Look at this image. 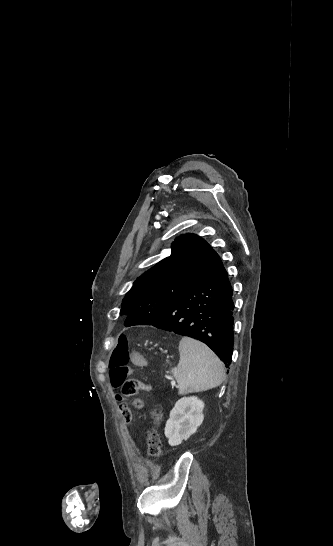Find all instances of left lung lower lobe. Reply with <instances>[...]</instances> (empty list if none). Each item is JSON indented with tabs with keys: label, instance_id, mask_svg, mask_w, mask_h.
<instances>
[{
	"label": "left lung lower lobe",
	"instance_id": "obj_1",
	"mask_svg": "<svg viewBox=\"0 0 333 546\" xmlns=\"http://www.w3.org/2000/svg\"><path fill=\"white\" fill-rule=\"evenodd\" d=\"M232 292L223 263L213 251L189 288L163 308L154 323L141 324L139 315L134 313L127 317L124 325H152L198 339L209 346L228 368L234 344Z\"/></svg>",
	"mask_w": 333,
	"mask_h": 546
}]
</instances>
